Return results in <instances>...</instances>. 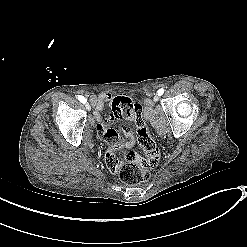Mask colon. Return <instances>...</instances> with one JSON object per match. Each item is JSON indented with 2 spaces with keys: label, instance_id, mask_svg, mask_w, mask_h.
I'll return each mask as SVG.
<instances>
[{
  "label": "colon",
  "instance_id": "colon-1",
  "mask_svg": "<svg viewBox=\"0 0 247 247\" xmlns=\"http://www.w3.org/2000/svg\"><path fill=\"white\" fill-rule=\"evenodd\" d=\"M136 124L140 147L128 153L116 172L119 179L129 186L147 182L151 177V170L157 166L161 156L159 147L145 127L143 116Z\"/></svg>",
  "mask_w": 247,
  "mask_h": 247
}]
</instances>
